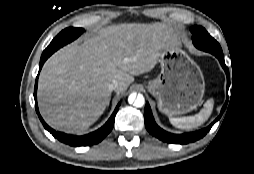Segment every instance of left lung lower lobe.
Returning a JSON list of instances; mask_svg holds the SVG:
<instances>
[{
	"label": "left lung lower lobe",
	"mask_w": 254,
	"mask_h": 174,
	"mask_svg": "<svg viewBox=\"0 0 254 174\" xmlns=\"http://www.w3.org/2000/svg\"><path fill=\"white\" fill-rule=\"evenodd\" d=\"M215 56L219 59V62L221 64V66L223 67V69L226 72L227 86L229 87V84H230L229 70H228L227 66L225 65L223 54H215ZM226 104H227V102H226ZM226 104L222 108L219 117L213 123H211L207 128H204L202 130L192 132V133L171 134V133L166 132L163 129H161L155 123L152 112H151V108L149 106V103L147 102L146 106H145V112H144L145 126H146V129L148 130V132L151 135L157 137L158 139H160L164 142L173 143V144H187V143H190V142L197 141V140L201 139L202 137H204L207 134V132L211 129L213 124L216 121H218L220 119V117L222 116V114L224 112V109L226 107Z\"/></svg>",
	"instance_id": "left-lung-lower-lobe-1"
}]
</instances>
